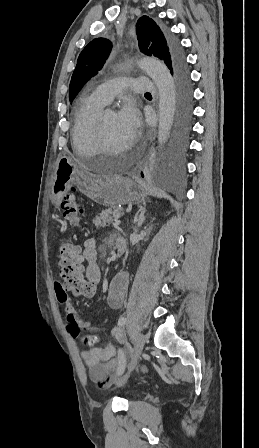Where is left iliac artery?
<instances>
[{
    "mask_svg": "<svg viewBox=\"0 0 259 448\" xmlns=\"http://www.w3.org/2000/svg\"><path fill=\"white\" fill-rule=\"evenodd\" d=\"M126 322H127V319L125 317H120L118 320V326H123L126 324ZM118 356L122 359L125 358L124 353L121 349L118 350ZM121 373H122L121 371L118 372V374H121Z\"/></svg>",
    "mask_w": 259,
    "mask_h": 448,
    "instance_id": "left-iliac-artery-1",
    "label": "left iliac artery"
}]
</instances>
